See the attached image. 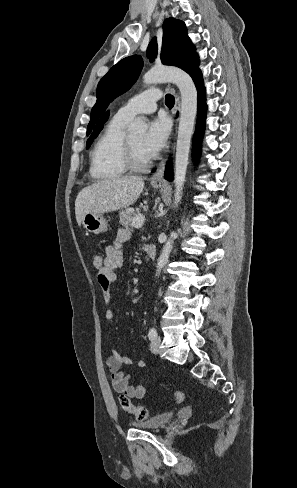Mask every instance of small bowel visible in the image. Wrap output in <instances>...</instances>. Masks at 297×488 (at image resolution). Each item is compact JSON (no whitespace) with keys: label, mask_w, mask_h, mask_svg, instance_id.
I'll use <instances>...</instances> for the list:
<instances>
[{"label":"small bowel","mask_w":297,"mask_h":488,"mask_svg":"<svg viewBox=\"0 0 297 488\" xmlns=\"http://www.w3.org/2000/svg\"><path fill=\"white\" fill-rule=\"evenodd\" d=\"M130 237L131 233L129 230H118L114 244L106 246L103 266L97 272L98 283L104 297V313L109 322L113 319V310L110 307L111 285L117 280L116 270L124 264L122 246ZM107 365L110 370L112 387L117 393L134 399H142L144 397L146 392L145 386L143 384H132L130 382V375L124 370V366L133 365V360L130 357L113 350L107 358ZM137 366L144 368L146 367V362L140 359L137 361Z\"/></svg>","instance_id":"obj_1"}]
</instances>
